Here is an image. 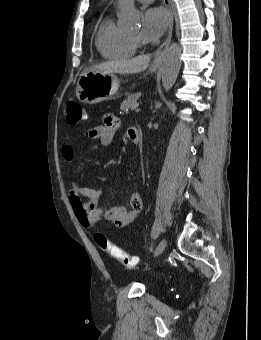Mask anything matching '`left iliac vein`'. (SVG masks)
I'll use <instances>...</instances> for the list:
<instances>
[{
  "label": "left iliac vein",
  "instance_id": "1",
  "mask_svg": "<svg viewBox=\"0 0 261 340\" xmlns=\"http://www.w3.org/2000/svg\"><path fill=\"white\" fill-rule=\"evenodd\" d=\"M166 246H167V241H166V239H162V240L159 242V244H158V246H157V248H156V250H155L154 255H155V256H158V255L162 254V253L164 252V250L166 249Z\"/></svg>",
  "mask_w": 261,
  "mask_h": 340
}]
</instances>
